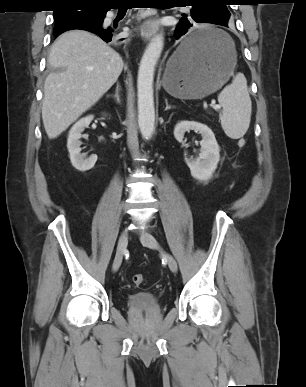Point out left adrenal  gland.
<instances>
[{"label":"left adrenal gland","mask_w":306,"mask_h":387,"mask_svg":"<svg viewBox=\"0 0 306 387\" xmlns=\"http://www.w3.org/2000/svg\"><path fill=\"white\" fill-rule=\"evenodd\" d=\"M165 103H166V108H165V111H167V110H169V109H175L176 107L175 106H173V105H169L168 104V100L167 99H165Z\"/></svg>","instance_id":"obj_1"}]
</instances>
